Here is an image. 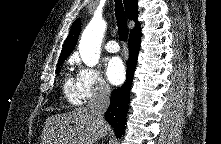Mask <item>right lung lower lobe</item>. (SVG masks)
<instances>
[{
	"mask_svg": "<svg viewBox=\"0 0 221 144\" xmlns=\"http://www.w3.org/2000/svg\"><path fill=\"white\" fill-rule=\"evenodd\" d=\"M141 29L130 34L129 37V59L127 61V78L121 88L112 92L110 105L105 112V119L114 128L117 137L124 133L125 120L128 112L129 92L133 81V74L137 63L138 52L141 41Z\"/></svg>",
	"mask_w": 221,
	"mask_h": 144,
	"instance_id": "98d812e1",
	"label": "right lung lower lobe"
}]
</instances>
